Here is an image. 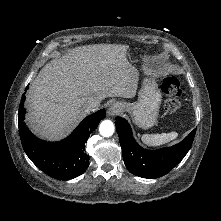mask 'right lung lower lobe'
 I'll use <instances>...</instances> for the list:
<instances>
[{
  "label": "right lung lower lobe",
  "instance_id": "right-lung-lower-lobe-1",
  "mask_svg": "<svg viewBox=\"0 0 221 221\" xmlns=\"http://www.w3.org/2000/svg\"><path fill=\"white\" fill-rule=\"evenodd\" d=\"M25 95L23 94L18 116L20 138L30 160L48 176L69 180L83 174L89 166L85 143L98 123L105 117V110L87 116L67 138L59 142H46L34 136L24 123Z\"/></svg>",
  "mask_w": 221,
  "mask_h": 221
}]
</instances>
